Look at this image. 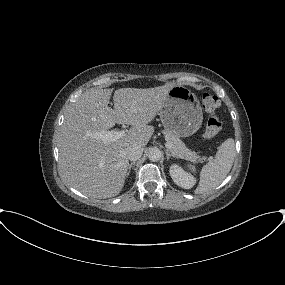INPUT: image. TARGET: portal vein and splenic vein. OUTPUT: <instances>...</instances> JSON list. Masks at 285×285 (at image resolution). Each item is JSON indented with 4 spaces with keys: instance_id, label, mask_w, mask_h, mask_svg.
<instances>
[{
    "instance_id": "1",
    "label": "portal vein and splenic vein",
    "mask_w": 285,
    "mask_h": 285,
    "mask_svg": "<svg viewBox=\"0 0 285 285\" xmlns=\"http://www.w3.org/2000/svg\"><path fill=\"white\" fill-rule=\"evenodd\" d=\"M92 136L96 139H100L103 142H112V141H117L118 139L123 138L126 136V131L125 130H120V131H100V132H95L92 134ZM166 148L171 149L172 145L170 143L165 144Z\"/></svg>"
}]
</instances>
